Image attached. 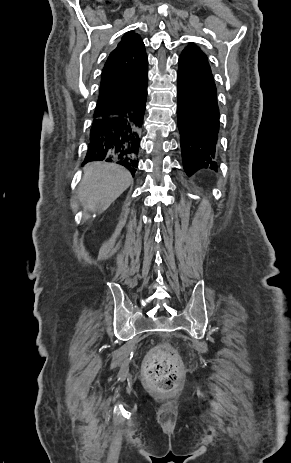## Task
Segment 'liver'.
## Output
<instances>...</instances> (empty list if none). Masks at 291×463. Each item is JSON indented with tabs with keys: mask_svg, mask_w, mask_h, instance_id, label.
<instances>
[{
	"mask_svg": "<svg viewBox=\"0 0 291 463\" xmlns=\"http://www.w3.org/2000/svg\"><path fill=\"white\" fill-rule=\"evenodd\" d=\"M132 176L120 165L92 162L84 167L78 188L81 205L87 211L104 212L131 184Z\"/></svg>",
	"mask_w": 291,
	"mask_h": 463,
	"instance_id": "6515ba94",
	"label": "liver"
}]
</instances>
